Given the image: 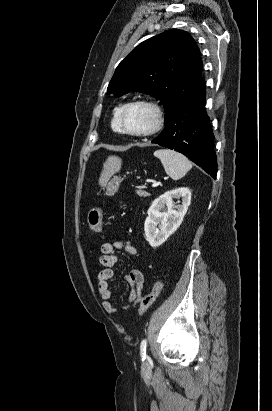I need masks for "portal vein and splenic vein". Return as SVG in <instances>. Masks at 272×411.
I'll return each mask as SVG.
<instances>
[{
    "instance_id": "18ae733b",
    "label": "portal vein and splenic vein",
    "mask_w": 272,
    "mask_h": 411,
    "mask_svg": "<svg viewBox=\"0 0 272 411\" xmlns=\"http://www.w3.org/2000/svg\"><path fill=\"white\" fill-rule=\"evenodd\" d=\"M159 185H160L159 182H154V183L152 184V187H157V186H159Z\"/></svg>"
}]
</instances>
